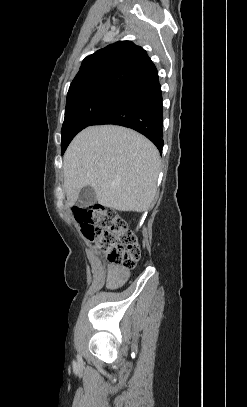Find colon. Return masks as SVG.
<instances>
[{
    "label": "colon",
    "instance_id": "obj_1",
    "mask_svg": "<svg viewBox=\"0 0 247 407\" xmlns=\"http://www.w3.org/2000/svg\"><path fill=\"white\" fill-rule=\"evenodd\" d=\"M74 216L84 237L95 242L110 263L127 269L136 266L140 258L136 237L112 209L98 204L76 207Z\"/></svg>",
    "mask_w": 247,
    "mask_h": 407
}]
</instances>
